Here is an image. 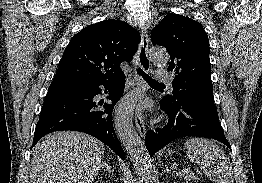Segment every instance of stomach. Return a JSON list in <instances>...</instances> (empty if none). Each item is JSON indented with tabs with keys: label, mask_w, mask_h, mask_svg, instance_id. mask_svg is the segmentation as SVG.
Here are the masks:
<instances>
[{
	"label": "stomach",
	"mask_w": 262,
	"mask_h": 183,
	"mask_svg": "<svg viewBox=\"0 0 262 183\" xmlns=\"http://www.w3.org/2000/svg\"><path fill=\"white\" fill-rule=\"evenodd\" d=\"M168 154L171 155V152L169 151Z\"/></svg>",
	"instance_id": "obj_1"
}]
</instances>
